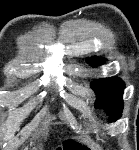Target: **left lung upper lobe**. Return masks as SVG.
<instances>
[{
  "label": "left lung upper lobe",
  "instance_id": "left-lung-upper-lobe-1",
  "mask_svg": "<svg viewBox=\"0 0 139 150\" xmlns=\"http://www.w3.org/2000/svg\"><path fill=\"white\" fill-rule=\"evenodd\" d=\"M88 62L92 66H98L105 62L103 58H91ZM91 88L97 94L95 107L104 109L109 115V121L114 122L120 118L123 110L122 94L125 88L124 82L118 77L94 80Z\"/></svg>",
  "mask_w": 139,
  "mask_h": 150
}]
</instances>
